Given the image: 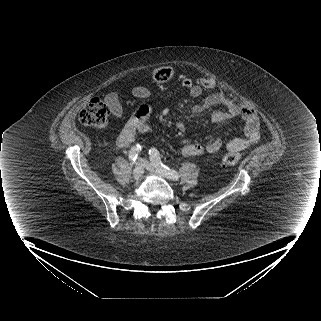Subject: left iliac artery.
<instances>
[{"instance_id": "44dca946", "label": "left iliac artery", "mask_w": 321, "mask_h": 321, "mask_svg": "<svg viewBox=\"0 0 321 321\" xmlns=\"http://www.w3.org/2000/svg\"><path fill=\"white\" fill-rule=\"evenodd\" d=\"M149 157L153 165L157 168V170L164 173L167 178L174 181L179 179L180 176L177 171L170 169L169 167H167L161 162L160 154L157 151V149L151 148L149 150Z\"/></svg>"}]
</instances>
